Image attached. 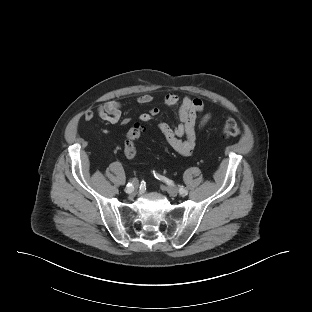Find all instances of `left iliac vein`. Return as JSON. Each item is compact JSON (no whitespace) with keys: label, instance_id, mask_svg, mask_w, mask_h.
<instances>
[{"label":"left iliac vein","instance_id":"obj_1","mask_svg":"<svg viewBox=\"0 0 312 312\" xmlns=\"http://www.w3.org/2000/svg\"><path fill=\"white\" fill-rule=\"evenodd\" d=\"M165 190L167 191V193L171 196V197H176L178 195V189L175 186H167L165 188Z\"/></svg>","mask_w":312,"mask_h":312}]
</instances>
